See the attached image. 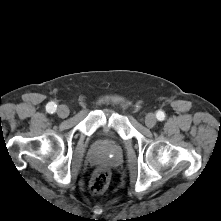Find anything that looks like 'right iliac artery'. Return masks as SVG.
I'll list each match as a JSON object with an SVG mask.
<instances>
[{
	"label": "right iliac artery",
	"mask_w": 221,
	"mask_h": 221,
	"mask_svg": "<svg viewBox=\"0 0 221 221\" xmlns=\"http://www.w3.org/2000/svg\"><path fill=\"white\" fill-rule=\"evenodd\" d=\"M57 105L54 102H49L46 105V110L49 113H54L56 111Z\"/></svg>",
	"instance_id": "1"
}]
</instances>
